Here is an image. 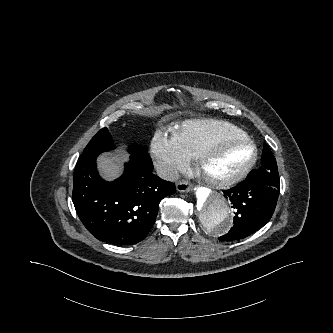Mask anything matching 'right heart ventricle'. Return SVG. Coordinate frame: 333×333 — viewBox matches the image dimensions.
<instances>
[{"label": "right heart ventricle", "mask_w": 333, "mask_h": 333, "mask_svg": "<svg viewBox=\"0 0 333 333\" xmlns=\"http://www.w3.org/2000/svg\"><path fill=\"white\" fill-rule=\"evenodd\" d=\"M222 135L248 136L239 127L215 119L186 121L179 128L172 130L173 140L189 160L195 159L206 144Z\"/></svg>", "instance_id": "e07e8e85"}]
</instances>
